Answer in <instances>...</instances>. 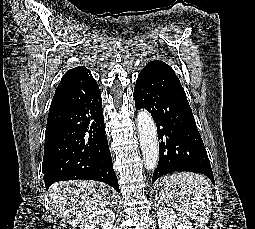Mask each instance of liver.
Segmentation results:
<instances>
[{
  "label": "liver",
  "mask_w": 255,
  "mask_h": 229,
  "mask_svg": "<svg viewBox=\"0 0 255 229\" xmlns=\"http://www.w3.org/2000/svg\"><path fill=\"white\" fill-rule=\"evenodd\" d=\"M49 197L52 209L74 226L89 213L106 207L112 198V190L104 183L76 180L53 184Z\"/></svg>",
  "instance_id": "obj_1"
}]
</instances>
